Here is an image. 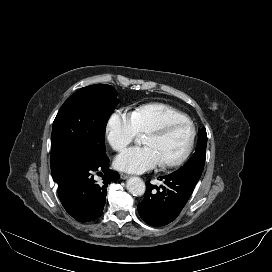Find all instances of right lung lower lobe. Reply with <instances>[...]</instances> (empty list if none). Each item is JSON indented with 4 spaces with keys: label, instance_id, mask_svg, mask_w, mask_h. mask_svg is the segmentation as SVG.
<instances>
[{
    "label": "right lung lower lobe",
    "instance_id": "right-lung-lower-lobe-1",
    "mask_svg": "<svg viewBox=\"0 0 272 272\" xmlns=\"http://www.w3.org/2000/svg\"><path fill=\"white\" fill-rule=\"evenodd\" d=\"M95 172L100 174L101 181L94 179ZM53 178L65 210L79 222H90L102 215L108 184L116 181L119 174L109 169L105 155L75 163Z\"/></svg>",
    "mask_w": 272,
    "mask_h": 272
}]
</instances>
